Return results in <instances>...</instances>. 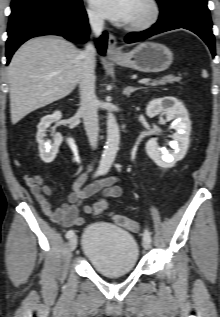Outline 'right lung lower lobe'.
I'll return each instance as SVG.
<instances>
[{
    "instance_id": "right-lung-lower-lobe-1",
    "label": "right lung lower lobe",
    "mask_w": 220,
    "mask_h": 317,
    "mask_svg": "<svg viewBox=\"0 0 220 317\" xmlns=\"http://www.w3.org/2000/svg\"><path fill=\"white\" fill-rule=\"evenodd\" d=\"M59 35L73 42L88 39V19L83 5L75 9L56 7H29L13 12L9 18L8 40L6 42L7 64L16 49L32 37ZM107 34L98 40V51L105 54Z\"/></svg>"
}]
</instances>
